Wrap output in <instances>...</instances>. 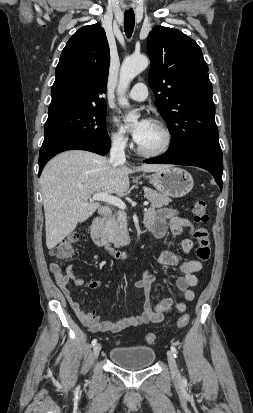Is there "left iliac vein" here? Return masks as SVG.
Segmentation results:
<instances>
[{
  "instance_id": "1",
  "label": "left iliac vein",
  "mask_w": 253,
  "mask_h": 413,
  "mask_svg": "<svg viewBox=\"0 0 253 413\" xmlns=\"http://www.w3.org/2000/svg\"><path fill=\"white\" fill-rule=\"evenodd\" d=\"M167 359H168V364L171 370V374L173 376L174 379L179 380L180 379V373L179 370L177 368V364H176V360L174 357V354L172 351H168L167 352Z\"/></svg>"
}]
</instances>
